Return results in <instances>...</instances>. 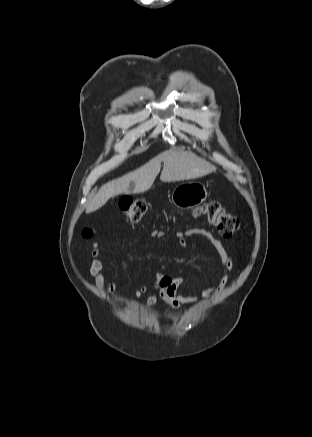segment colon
Here are the masks:
<instances>
[{
  "label": "colon",
  "instance_id": "1",
  "mask_svg": "<svg viewBox=\"0 0 312 437\" xmlns=\"http://www.w3.org/2000/svg\"><path fill=\"white\" fill-rule=\"evenodd\" d=\"M119 207L126 220L137 222L145 216L148 204L144 199L124 196L119 201ZM198 212L204 214L224 237H231L240 229L239 219L217 201L202 205ZM82 234L85 238H89L92 231L85 229Z\"/></svg>",
  "mask_w": 312,
  "mask_h": 437
}]
</instances>
